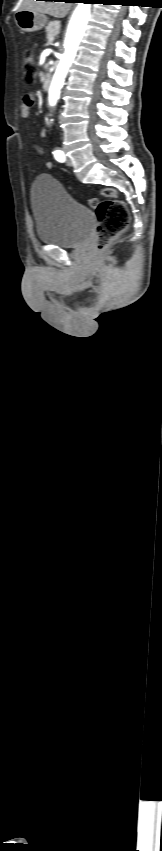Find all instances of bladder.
Here are the masks:
<instances>
[{"label": "bladder", "instance_id": "obj_1", "mask_svg": "<svg viewBox=\"0 0 162 851\" xmlns=\"http://www.w3.org/2000/svg\"><path fill=\"white\" fill-rule=\"evenodd\" d=\"M31 202L36 235L41 243L75 248L91 234L95 224L92 210L72 198L52 176L42 175L35 179Z\"/></svg>", "mask_w": 162, "mask_h": 851}]
</instances>
